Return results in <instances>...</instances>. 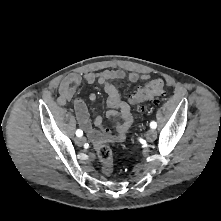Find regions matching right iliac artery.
<instances>
[{"label": "right iliac artery", "mask_w": 221, "mask_h": 221, "mask_svg": "<svg viewBox=\"0 0 221 221\" xmlns=\"http://www.w3.org/2000/svg\"><path fill=\"white\" fill-rule=\"evenodd\" d=\"M82 135H83L82 130L78 129V130L76 131V136H77V137H81Z\"/></svg>", "instance_id": "82829eb1"}]
</instances>
